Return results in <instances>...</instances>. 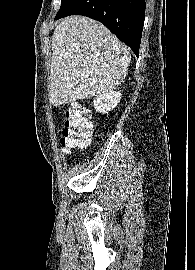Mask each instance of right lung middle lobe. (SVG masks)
Listing matches in <instances>:
<instances>
[{"label": "right lung middle lobe", "mask_w": 195, "mask_h": 270, "mask_svg": "<svg viewBox=\"0 0 195 270\" xmlns=\"http://www.w3.org/2000/svg\"><path fill=\"white\" fill-rule=\"evenodd\" d=\"M74 1L75 0H61V7L57 14H60L67 10Z\"/></svg>", "instance_id": "obj_1"}]
</instances>
